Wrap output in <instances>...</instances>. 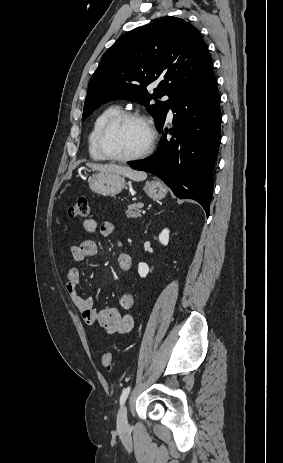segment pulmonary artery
Segmentation results:
<instances>
[{
	"mask_svg": "<svg viewBox=\"0 0 283 463\" xmlns=\"http://www.w3.org/2000/svg\"><path fill=\"white\" fill-rule=\"evenodd\" d=\"M165 99H168V96H165ZM169 117L171 118L172 117V111L169 110Z\"/></svg>",
	"mask_w": 283,
	"mask_h": 463,
	"instance_id": "obj_1",
	"label": "pulmonary artery"
}]
</instances>
